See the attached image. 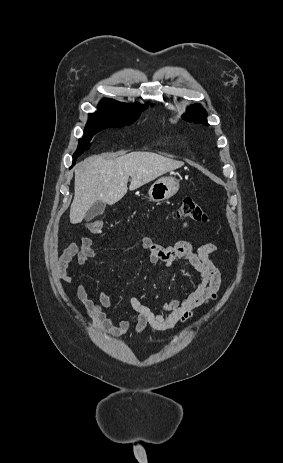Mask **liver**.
Segmentation results:
<instances>
[{"label":"liver","instance_id":"1","mask_svg":"<svg viewBox=\"0 0 283 463\" xmlns=\"http://www.w3.org/2000/svg\"><path fill=\"white\" fill-rule=\"evenodd\" d=\"M183 162L152 152H131L116 157L111 154L91 156L75 168L74 199L70 207V222H82L97 201L113 205L129 190L176 170Z\"/></svg>","mask_w":283,"mask_h":463}]
</instances>
